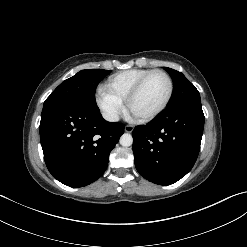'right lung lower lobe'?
<instances>
[{
    "instance_id": "right-lung-lower-lobe-1",
    "label": "right lung lower lobe",
    "mask_w": 247,
    "mask_h": 247,
    "mask_svg": "<svg viewBox=\"0 0 247 247\" xmlns=\"http://www.w3.org/2000/svg\"><path fill=\"white\" fill-rule=\"evenodd\" d=\"M123 132L124 125L104 120L97 106L48 103L40 122L46 166L67 186L89 185L105 172L109 154Z\"/></svg>"
}]
</instances>
